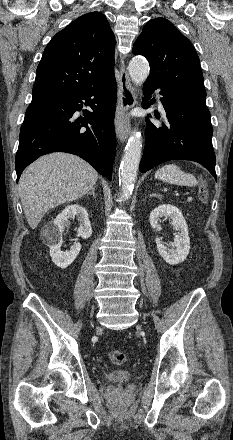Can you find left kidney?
<instances>
[{
    "mask_svg": "<svg viewBox=\"0 0 233 440\" xmlns=\"http://www.w3.org/2000/svg\"><path fill=\"white\" fill-rule=\"evenodd\" d=\"M162 217H170L172 219L173 229L177 231L174 241L166 247L156 238L157 250L161 257L170 265H176L183 262L190 250V238L188 235V226L181 211L170 204H163L156 207L150 213V225L153 229L158 227V221Z\"/></svg>",
    "mask_w": 233,
    "mask_h": 440,
    "instance_id": "1",
    "label": "left kidney"
}]
</instances>
